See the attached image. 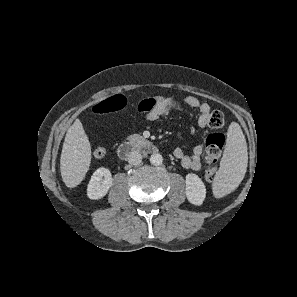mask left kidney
Listing matches in <instances>:
<instances>
[{
    "mask_svg": "<svg viewBox=\"0 0 297 297\" xmlns=\"http://www.w3.org/2000/svg\"><path fill=\"white\" fill-rule=\"evenodd\" d=\"M186 197L191 204L201 205L206 197L203 181L194 173L186 175Z\"/></svg>",
    "mask_w": 297,
    "mask_h": 297,
    "instance_id": "1",
    "label": "left kidney"
}]
</instances>
